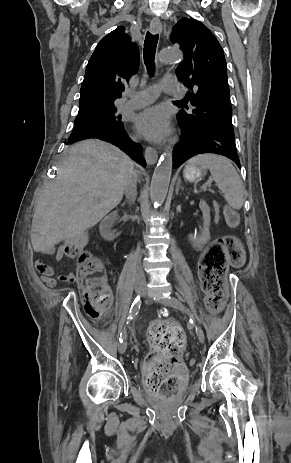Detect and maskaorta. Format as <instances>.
I'll return each mask as SVG.
<instances>
[{
  "instance_id": "obj_1",
  "label": "aorta",
  "mask_w": 291,
  "mask_h": 463,
  "mask_svg": "<svg viewBox=\"0 0 291 463\" xmlns=\"http://www.w3.org/2000/svg\"><path fill=\"white\" fill-rule=\"evenodd\" d=\"M182 57V52L179 49L167 47L161 50L159 62L161 64H167L181 60ZM172 164V150L168 148L161 155L151 181L150 198L156 205L163 203L167 196L172 173Z\"/></svg>"
}]
</instances>
